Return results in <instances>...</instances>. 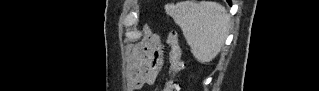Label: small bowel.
<instances>
[{
	"mask_svg": "<svg viewBox=\"0 0 319 91\" xmlns=\"http://www.w3.org/2000/svg\"><path fill=\"white\" fill-rule=\"evenodd\" d=\"M150 49L157 51L155 65L150 68L141 66V58L144 53ZM163 65V48L158 35L149 34L141 44L133 49L132 56V84L134 88H140L146 84L154 83Z\"/></svg>",
	"mask_w": 319,
	"mask_h": 91,
	"instance_id": "obj_1",
	"label": "small bowel"
}]
</instances>
